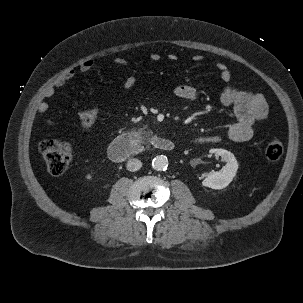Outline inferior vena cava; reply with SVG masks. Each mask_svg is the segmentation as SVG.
<instances>
[{"label":"inferior vena cava","mask_w":303,"mask_h":303,"mask_svg":"<svg viewBox=\"0 0 303 303\" xmlns=\"http://www.w3.org/2000/svg\"><path fill=\"white\" fill-rule=\"evenodd\" d=\"M142 167V162L136 158L129 159L127 162V169L131 172L137 171Z\"/></svg>","instance_id":"602c4592"}]
</instances>
